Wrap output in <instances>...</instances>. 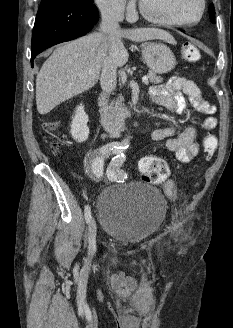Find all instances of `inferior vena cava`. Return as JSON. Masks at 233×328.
<instances>
[{"mask_svg":"<svg viewBox=\"0 0 233 328\" xmlns=\"http://www.w3.org/2000/svg\"><path fill=\"white\" fill-rule=\"evenodd\" d=\"M101 31L105 34L120 30L119 21L123 18V7L119 4L104 8L101 11ZM117 67L113 59L107 56L102 65L100 78L101 88L105 93H111L117 84Z\"/></svg>","mask_w":233,"mask_h":328,"instance_id":"obj_1","label":"inferior vena cava"}]
</instances>
